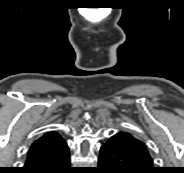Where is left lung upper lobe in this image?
I'll list each match as a JSON object with an SVG mask.
<instances>
[{
	"mask_svg": "<svg viewBox=\"0 0 184 173\" xmlns=\"http://www.w3.org/2000/svg\"><path fill=\"white\" fill-rule=\"evenodd\" d=\"M126 146L133 153V155L139 160V162L149 169H157L153 166V160L148 152L146 145L130 133L125 132Z\"/></svg>",
	"mask_w": 184,
	"mask_h": 173,
	"instance_id": "5c2ea615",
	"label": "left lung upper lobe"
}]
</instances>
